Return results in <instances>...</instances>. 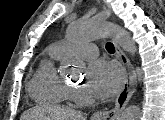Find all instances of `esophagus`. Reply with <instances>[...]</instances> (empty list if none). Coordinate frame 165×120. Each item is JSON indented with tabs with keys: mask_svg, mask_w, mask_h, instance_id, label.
I'll return each mask as SVG.
<instances>
[{
	"mask_svg": "<svg viewBox=\"0 0 165 120\" xmlns=\"http://www.w3.org/2000/svg\"><path fill=\"white\" fill-rule=\"evenodd\" d=\"M113 42L117 57L126 70V79L123 83L121 91L116 98L115 106L109 111H100L95 113L93 115V120H116L120 116L121 112L135 91L137 77L134 68L126 54L121 50L115 40H113Z\"/></svg>",
	"mask_w": 165,
	"mask_h": 120,
	"instance_id": "1",
	"label": "esophagus"
}]
</instances>
